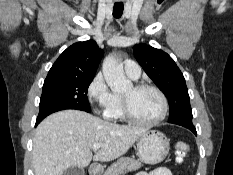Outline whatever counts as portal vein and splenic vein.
I'll return each mask as SVG.
<instances>
[{
  "label": "portal vein and splenic vein",
  "instance_id": "1",
  "mask_svg": "<svg viewBox=\"0 0 233 175\" xmlns=\"http://www.w3.org/2000/svg\"><path fill=\"white\" fill-rule=\"evenodd\" d=\"M100 147H101V144H94L93 147H92V149L94 151H97Z\"/></svg>",
  "mask_w": 233,
  "mask_h": 175
}]
</instances>
